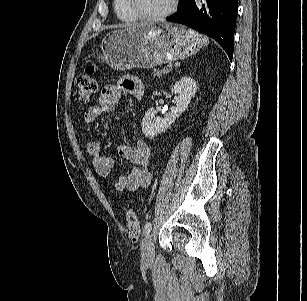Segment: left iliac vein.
<instances>
[{"label":"left iliac vein","instance_id":"obj_1","mask_svg":"<svg viewBox=\"0 0 307 301\" xmlns=\"http://www.w3.org/2000/svg\"><path fill=\"white\" fill-rule=\"evenodd\" d=\"M142 260L144 263H151L154 259V243L152 240V235L147 234L142 241Z\"/></svg>","mask_w":307,"mask_h":301}]
</instances>
